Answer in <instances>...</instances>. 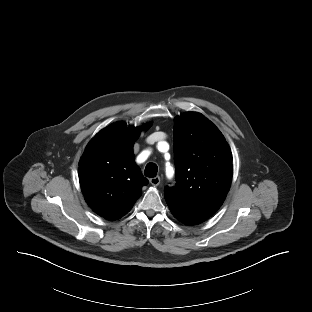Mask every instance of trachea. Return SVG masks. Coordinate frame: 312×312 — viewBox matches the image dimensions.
<instances>
[{"mask_svg":"<svg viewBox=\"0 0 312 312\" xmlns=\"http://www.w3.org/2000/svg\"><path fill=\"white\" fill-rule=\"evenodd\" d=\"M157 165L155 163H148L145 167V176L146 177H155L157 175Z\"/></svg>","mask_w":312,"mask_h":312,"instance_id":"trachea-1","label":"trachea"}]
</instances>
